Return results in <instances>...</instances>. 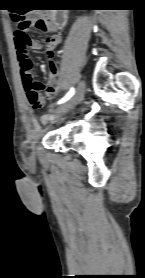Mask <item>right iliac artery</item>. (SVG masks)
Returning a JSON list of instances; mask_svg holds the SVG:
<instances>
[{"instance_id": "right-iliac-artery-1", "label": "right iliac artery", "mask_w": 145, "mask_h": 278, "mask_svg": "<svg viewBox=\"0 0 145 278\" xmlns=\"http://www.w3.org/2000/svg\"><path fill=\"white\" fill-rule=\"evenodd\" d=\"M74 93H75V89L72 87V88L70 89V91L66 94V96L63 97V98L58 102V104L64 103V102H66L67 100H69V99L74 95Z\"/></svg>"}]
</instances>
